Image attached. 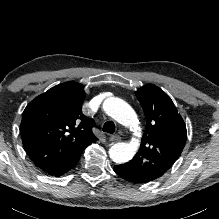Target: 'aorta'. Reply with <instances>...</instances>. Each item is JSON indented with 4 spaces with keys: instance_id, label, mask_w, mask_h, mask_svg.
I'll use <instances>...</instances> for the list:
<instances>
[{
    "instance_id": "aorta-1",
    "label": "aorta",
    "mask_w": 219,
    "mask_h": 219,
    "mask_svg": "<svg viewBox=\"0 0 219 219\" xmlns=\"http://www.w3.org/2000/svg\"><path fill=\"white\" fill-rule=\"evenodd\" d=\"M103 109L120 124L131 128L137 127V115L133 108L124 100L117 97L107 98L103 103ZM135 152V143L119 142L109 149L110 158L118 164L126 163L131 160Z\"/></svg>"
}]
</instances>
